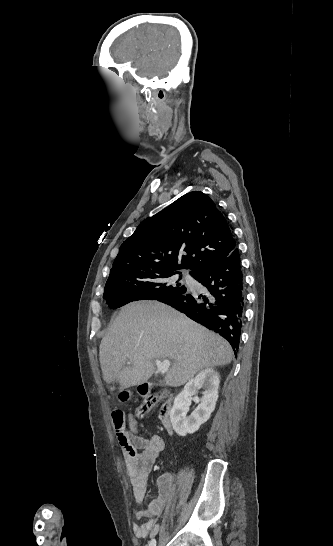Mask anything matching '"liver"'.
<instances>
[{"mask_svg":"<svg viewBox=\"0 0 333 546\" xmlns=\"http://www.w3.org/2000/svg\"><path fill=\"white\" fill-rule=\"evenodd\" d=\"M167 358L173 363L165 383L176 387L205 368L229 364L233 350L219 335L157 301L124 306L100 344L103 379L119 382L120 389L147 382L154 360Z\"/></svg>","mask_w":333,"mask_h":546,"instance_id":"liver-1","label":"liver"}]
</instances>
